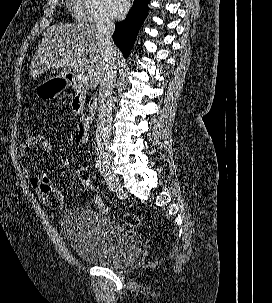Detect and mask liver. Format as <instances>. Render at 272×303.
<instances>
[{
  "label": "liver",
  "mask_w": 272,
  "mask_h": 303,
  "mask_svg": "<svg viewBox=\"0 0 272 303\" xmlns=\"http://www.w3.org/2000/svg\"><path fill=\"white\" fill-rule=\"evenodd\" d=\"M104 48L97 25L73 23L52 25L38 46L31 61L30 75L34 79L44 72L61 68L56 78H65L74 69L89 77L95 89L99 82ZM115 58L120 55L114 47Z\"/></svg>",
  "instance_id": "1"
}]
</instances>
